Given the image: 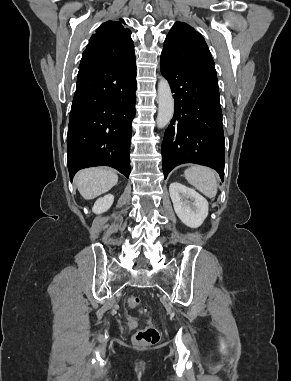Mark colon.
<instances>
[{"instance_id":"colon-1","label":"colon","mask_w":291,"mask_h":381,"mask_svg":"<svg viewBox=\"0 0 291 381\" xmlns=\"http://www.w3.org/2000/svg\"><path fill=\"white\" fill-rule=\"evenodd\" d=\"M126 302L130 308H135L139 305L140 300L137 296H129ZM159 338L158 329L152 323H149L135 333L134 342L138 345H153L159 341Z\"/></svg>"}]
</instances>
